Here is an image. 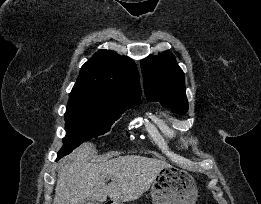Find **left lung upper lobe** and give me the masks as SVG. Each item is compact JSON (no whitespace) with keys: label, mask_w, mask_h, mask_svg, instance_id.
<instances>
[{"label":"left lung upper lobe","mask_w":261,"mask_h":204,"mask_svg":"<svg viewBox=\"0 0 261 204\" xmlns=\"http://www.w3.org/2000/svg\"><path fill=\"white\" fill-rule=\"evenodd\" d=\"M145 96L150 101H159L178 114L188 111L185 95V78L175 57L169 52L148 56L141 61Z\"/></svg>","instance_id":"left-lung-upper-lobe-1"}]
</instances>
